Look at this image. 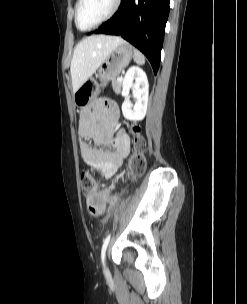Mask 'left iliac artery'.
<instances>
[{"label":"left iliac artery","instance_id":"obj_1","mask_svg":"<svg viewBox=\"0 0 247 304\" xmlns=\"http://www.w3.org/2000/svg\"><path fill=\"white\" fill-rule=\"evenodd\" d=\"M110 237H111V235L109 234V235L104 239V242H103V246H102V250H101V259H102L103 264H104L105 252H106L108 243H109V241H110Z\"/></svg>","mask_w":247,"mask_h":304}]
</instances>
